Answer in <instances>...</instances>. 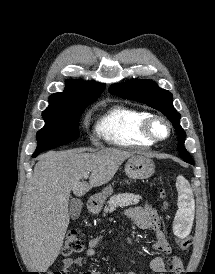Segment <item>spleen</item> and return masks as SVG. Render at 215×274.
Returning a JSON list of instances; mask_svg holds the SVG:
<instances>
[{
  "mask_svg": "<svg viewBox=\"0 0 215 274\" xmlns=\"http://www.w3.org/2000/svg\"><path fill=\"white\" fill-rule=\"evenodd\" d=\"M176 188L178 191V211L173 230L175 235L183 238L188 235V224L194 217L195 204L190 184L181 175L177 177Z\"/></svg>",
  "mask_w": 215,
  "mask_h": 274,
  "instance_id": "obj_1",
  "label": "spleen"
}]
</instances>
